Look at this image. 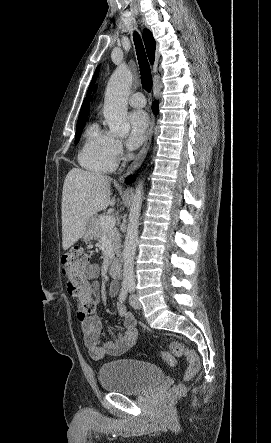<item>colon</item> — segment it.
<instances>
[{"mask_svg":"<svg viewBox=\"0 0 271 443\" xmlns=\"http://www.w3.org/2000/svg\"><path fill=\"white\" fill-rule=\"evenodd\" d=\"M91 260V252L85 247H75L62 255L63 274L67 278L68 292L75 300L83 306L88 314L96 310L93 297V287L91 282L85 277L84 270L89 266ZM172 354L162 352L163 361L169 365H174V357H184L188 361V367L185 371V380H190L200 370V360L194 350L186 347L180 342H172L170 344ZM183 385H176L169 390L165 396V401L170 403L183 392Z\"/></svg>","mask_w":271,"mask_h":443,"instance_id":"1","label":"colon"}]
</instances>
